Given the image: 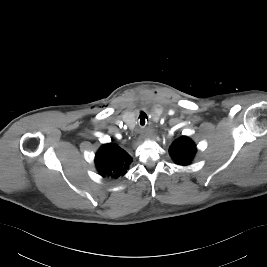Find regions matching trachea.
<instances>
[{
    "instance_id": "1",
    "label": "trachea",
    "mask_w": 267,
    "mask_h": 267,
    "mask_svg": "<svg viewBox=\"0 0 267 267\" xmlns=\"http://www.w3.org/2000/svg\"><path fill=\"white\" fill-rule=\"evenodd\" d=\"M138 120H139V124L141 126H144L146 124V121H148L147 114L144 112H141L139 117H138Z\"/></svg>"
}]
</instances>
